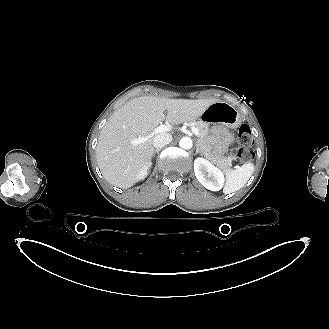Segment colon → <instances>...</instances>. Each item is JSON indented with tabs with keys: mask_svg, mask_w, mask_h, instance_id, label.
Instances as JSON below:
<instances>
[{
	"mask_svg": "<svg viewBox=\"0 0 329 329\" xmlns=\"http://www.w3.org/2000/svg\"><path fill=\"white\" fill-rule=\"evenodd\" d=\"M253 141L254 139L250 126L242 124L238 130L239 147L233 150V156L241 162L250 161L253 158V153L250 150Z\"/></svg>",
	"mask_w": 329,
	"mask_h": 329,
	"instance_id": "colon-1",
	"label": "colon"
}]
</instances>
